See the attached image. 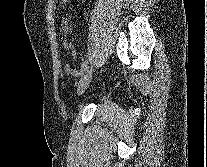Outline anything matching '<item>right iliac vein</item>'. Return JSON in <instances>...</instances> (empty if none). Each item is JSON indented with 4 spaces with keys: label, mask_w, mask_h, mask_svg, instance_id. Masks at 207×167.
I'll return each mask as SVG.
<instances>
[{
    "label": "right iliac vein",
    "mask_w": 207,
    "mask_h": 167,
    "mask_svg": "<svg viewBox=\"0 0 207 167\" xmlns=\"http://www.w3.org/2000/svg\"><path fill=\"white\" fill-rule=\"evenodd\" d=\"M92 75H93V68L88 67L78 83L77 94L79 96L82 95L86 91V89L88 88L89 83L92 79Z\"/></svg>",
    "instance_id": "1"
}]
</instances>
